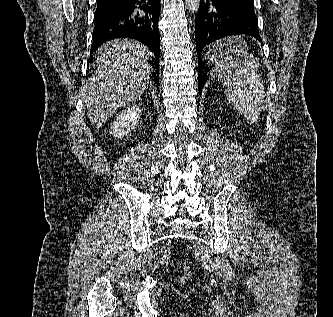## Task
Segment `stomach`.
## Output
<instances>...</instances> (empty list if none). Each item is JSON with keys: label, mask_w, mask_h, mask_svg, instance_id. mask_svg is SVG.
Listing matches in <instances>:
<instances>
[{"label": "stomach", "mask_w": 333, "mask_h": 317, "mask_svg": "<svg viewBox=\"0 0 333 317\" xmlns=\"http://www.w3.org/2000/svg\"><path fill=\"white\" fill-rule=\"evenodd\" d=\"M207 62H218L211 75V82H260V81H227V74L235 71L224 69H244V62H256V55H248L250 46L247 41H212L208 46Z\"/></svg>", "instance_id": "0dacf381"}]
</instances>
